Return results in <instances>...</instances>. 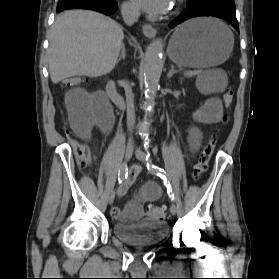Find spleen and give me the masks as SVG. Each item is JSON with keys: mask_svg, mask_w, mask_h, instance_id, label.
Listing matches in <instances>:
<instances>
[{"mask_svg": "<svg viewBox=\"0 0 279 279\" xmlns=\"http://www.w3.org/2000/svg\"><path fill=\"white\" fill-rule=\"evenodd\" d=\"M220 25L223 26L225 31L229 34H232L230 29L224 25L223 23L220 22ZM220 73V71L217 70H209L205 71L198 79L196 82V86L200 91H207V92H213V91H223L227 85V79L226 76H221L217 77L216 75Z\"/></svg>", "mask_w": 279, "mask_h": 279, "instance_id": "spleen-1", "label": "spleen"}]
</instances>
